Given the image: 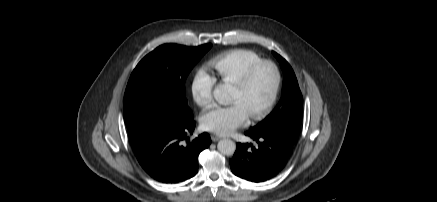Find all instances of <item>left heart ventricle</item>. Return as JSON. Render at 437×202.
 I'll return each instance as SVG.
<instances>
[{"label":"left heart ventricle","mask_w":437,"mask_h":202,"mask_svg":"<svg viewBox=\"0 0 437 202\" xmlns=\"http://www.w3.org/2000/svg\"><path fill=\"white\" fill-rule=\"evenodd\" d=\"M274 81L273 69L270 66H262L256 71L247 87H233L231 102H241L250 116L268 101Z\"/></svg>","instance_id":"left-heart-ventricle-1"}]
</instances>
